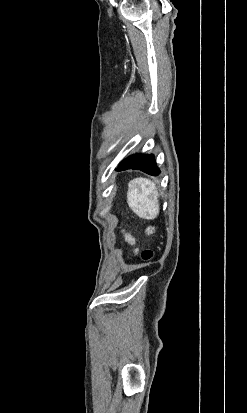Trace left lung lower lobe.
Here are the masks:
<instances>
[{
	"label": "left lung lower lobe",
	"instance_id": "obj_1",
	"mask_svg": "<svg viewBox=\"0 0 247 413\" xmlns=\"http://www.w3.org/2000/svg\"><path fill=\"white\" fill-rule=\"evenodd\" d=\"M127 169L141 170L150 175L157 176L159 169L156 167V162L153 155H132L123 160L116 171H124Z\"/></svg>",
	"mask_w": 247,
	"mask_h": 413
}]
</instances>
